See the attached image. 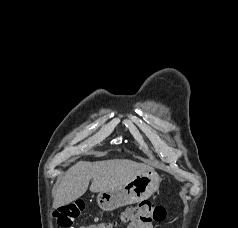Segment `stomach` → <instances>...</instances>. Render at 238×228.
Wrapping results in <instances>:
<instances>
[{
	"label": "stomach",
	"instance_id": "stomach-1",
	"mask_svg": "<svg viewBox=\"0 0 238 228\" xmlns=\"http://www.w3.org/2000/svg\"><path fill=\"white\" fill-rule=\"evenodd\" d=\"M161 178L154 170L137 175L124 185L98 194L97 202L104 211H112L118 207L138 203L149 198L159 189Z\"/></svg>",
	"mask_w": 238,
	"mask_h": 228
}]
</instances>
